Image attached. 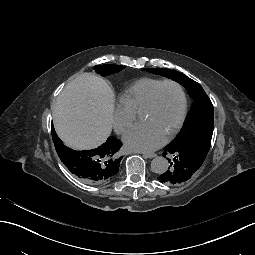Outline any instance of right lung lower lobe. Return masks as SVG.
Listing matches in <instances>:
<instances>
[{"instance_id": "98d812e1", "label": "right lung lower lobe", "mask_w": 255, "mask_h": 255, "mask_svg": "<svg viewBox=\"0 0 255 255\" xmlns=\"http://www.w3.org/2000/svg\"><path fill=\"white\" fill-rule=\"evenodd\" d=\"M80 159L83 161V175L87 178L92 176H97L100 173V156L97 153L88 154L87 152H82L80 154Z\"/></svg>"}]
</instances>
